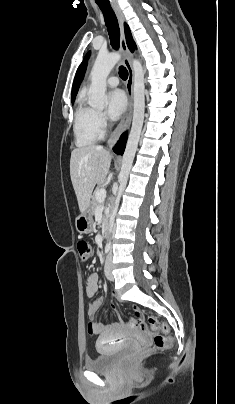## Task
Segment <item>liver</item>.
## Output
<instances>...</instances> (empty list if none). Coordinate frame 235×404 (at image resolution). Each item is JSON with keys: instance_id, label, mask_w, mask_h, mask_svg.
Wrapping results in <instances>:
<instances>
[{"instance_id": "1", "label": "liver", "mask_w": 235, "mask_h": 404, "mask_svg": "<svg viewBox=\"0 0 235 404\" xmlns=\"http://www.w3.org/2000/svg\"><path fill=\"white\" fill-rule=\"evenodd\" d=\"M111 158L102 146H86L71 152L70 177L81 213L88 209L95 185L106 179Z\"/></svg>"}]
</instances>
